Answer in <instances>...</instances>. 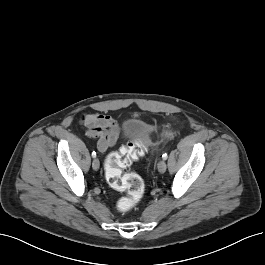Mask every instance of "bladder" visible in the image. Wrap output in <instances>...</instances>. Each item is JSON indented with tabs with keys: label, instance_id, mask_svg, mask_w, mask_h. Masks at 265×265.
Listing matches in <instances>:
<instances>
[{
	"label": "bladder",
	"instance_id": "31cf9c89",
	"mask_svg": "<svg viewBox=\"0 0 265 265\" xmlns=\"http://www.w3.org/2000/svg\"><path fill=\"white\" fill-rule=\"evenodd\" d=\"M122 136L125 139L147 141L150 138V129L144 120L140 118H132L123 123Z\"/></svg>",
	"mask_w": 265,
	"mask_h": 265
}]
</instances>
